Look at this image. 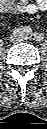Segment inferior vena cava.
Masks as SVG:
<instances>
[{
	"mask_svg": "<svg viewBox=\"0 0 47 129\" xmlns=\"http://www.w3.org/2000/svg\"><path fill=\"white\" fill-rule=\"evenodd\" d=\"M16 39L20 41L22 40V37L19 35Z\"/></svg>",
	"mask_w": 47,
	"mask_h": 129,
	"instance_id": "1",
	"label": "inferior vena cava"
}]
</instances>
